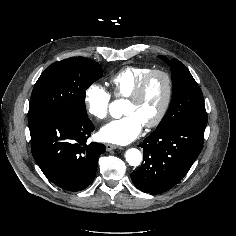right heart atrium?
<instances>
[{
  "instance_id": "right-heart-atrium-1",
  "label": "right heart atrium",
  "mask_w": 236,
  "mask_h": 236,
  "mask_svg": "<svg viewBox=\"0 0 236 236\" xmlns=\"http://www.w3.org/2000/svg\"><path fill=\"white\" fill-rule=\"evenodd\" d=\"M84 103L92 118L104 120L109 114L111 95L102 85L93 83L85 91Z\"/></svg>"
}]
</instances>
